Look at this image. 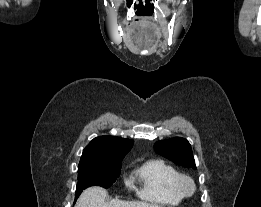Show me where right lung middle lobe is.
<instances>
[{
	"label": "right lung middle lobe",
	"mask_w": 261,
	"mask_h": 207,
	"mask_svg": "<svg viewBox=\"0 0 261 207\" xmlns=\"http://www.w3.org/2000/svg\"><path fill=\"white\" fill-rule=\"evenodd\" d=\"M122 159L117 158L106 164L79 165L75 201L90 186L110 187L120 175Z\"/></svg>",
	"instance_id": "dd1d6c3e"
}]
</instances>
